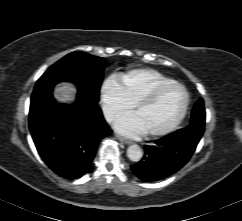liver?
Instances as JSON below:
<instances>
[{
	"label": "liver",
	"instance_id": "1",
	"mask_svg": "<svg viewBox=\"0 0 242 221\" xmlns=\"http://www.w3.org/2000/svg\"><path fill=\"white\" fill-rule=\"evenodd\" d=\"M75 93H76V90L72 86V84L62 83L58 85L57 88L55 89L54 96L59 102L71 103L75 99Z\"/></svg>",
	"mask_w": 242,
	"mask_h": 221
}]
</instances>
